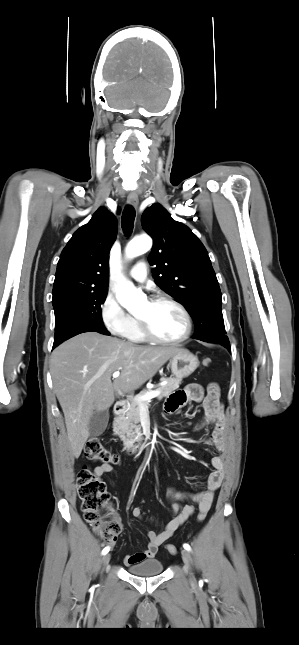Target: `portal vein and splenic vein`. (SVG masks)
<instances>
[{
	"label": "portal vein and splenic vein",
	"instance_id": "obj_1",
	"mask_svg": "<svg viewBox=\"0 0 299 645\" xmlns=\"http://www.w3.org/2000/svg\"><path fill=\"white\" fill-rule=\"evenodd\" d=\"M119 375H120L119 371H115L112 374L113 378H117ZM159 395H160V391L155 390V391L148 392L147 394H145L143 396L136 397L135 399L138 400L141 403V402H144V401H150L151 399H153V398H155V397H157Z\"/></svg>",
	"mask_w": 299,
	"mask_h": 645
}]
</instances>
